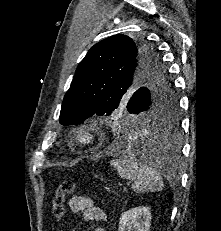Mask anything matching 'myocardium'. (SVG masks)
Returning a JSON list of instances; mask_svg holds the SVG:
<instances>
[{
  "label": "myocardium",
  "instance_id": "myocardium-1",
  "mask_svg": "<svg viewBox=\"0 0 221 231\" xmlns=\"http://www.w3.org/2000/svg\"><path fill=\"white\" fill-rule=\"evenodd\" d=\"M97 141V134L95 130L88 126L83 125L77 131L76 142L82 148H91Z\"/></svg>",
  "mask_w": 221,
  "mask_h": 231
}]
</instances>
